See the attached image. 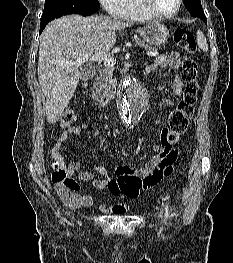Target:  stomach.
I'll return each mask as SVG.
<instances>
[{"label": "stomach", "mask_w": 233, "mask_h": 263, "mask_svg": "<svg viewBox=\"0 0 233 263\" xmlns=\"http://www.w3.org/2000/svg\"><path fill=\"white\" fill-rule=\"evenodd\" d=\"M137 32L150 45H162L169 38L167 27L160 23H150L138 29Z\"/></svg>", "instance_id": "obj_1"}]
</instances>
